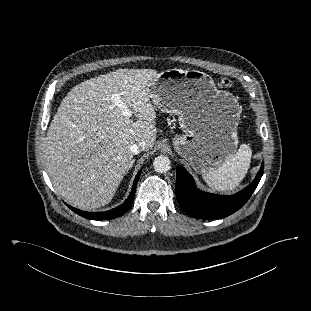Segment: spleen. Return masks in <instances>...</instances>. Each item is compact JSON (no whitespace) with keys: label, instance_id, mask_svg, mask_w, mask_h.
Returning <instances> with one entry per match:
<instances>
[{"label":"spleen","instance_id":"3e777b00","mask_svg":"<svg viewBox=\"0 0 311 311\" xmlns=\"http://www.w3.org/2000/svg\"><path fill=\"white\" fill-rule=\"evenodd\" d=\"M251 157L250 146L242 144L238 151L220 167L203 172L202 178L214 191H233L245 178L250 168Z\"/></svg>","mask_w":311,"mask_h":311}]
</instances>
